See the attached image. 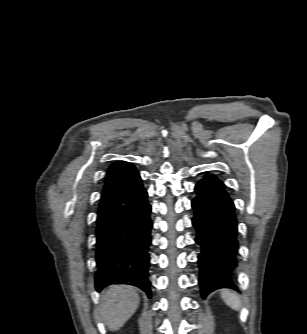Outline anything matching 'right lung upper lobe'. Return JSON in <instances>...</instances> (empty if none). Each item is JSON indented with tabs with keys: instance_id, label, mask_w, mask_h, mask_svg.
Instances as JSON below:
<instances>
[{
	"instance_id": "right-lung-upper-lobe-1",
	"label": "right lung upper lobe",
	"mask_w": 307,
	"mask_h": 334,
	"mask_svg": "<svg viewBox=\"0 0 307 334\" xmlns=\"http://www.w3.org/2000/svg\"><path fill=\"white\" fill-rule=\"evenodd\" d=\"M137 174L138 171L136 168L128 162H117L112 164L107 171V180L102 195H106L124 185Z\"/></svg>"
}]
</instances>
